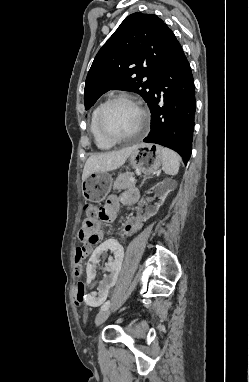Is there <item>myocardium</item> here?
Returning a JSON list of instances; mask_svg holds the SVG:
<instances>
[{"label":"myocardium","mask_w":249,"mask_h":382,"mask_svg":"<svg viewBox=\"0 0 249 382\" xmlns=\"http://www.w3.org/2000/svg\"><path fill=\"white\" fill-rule=\"evenodd\" d=\"M116 102H129V103L133 104L138 109V111L140 113V122H139L138 128L131 135L124 136V137H115V136L111 135L107 131V129L105 128V125H104L105 112L110 105H112L113 103H116ZM148 123H149V116H148V113L146 112V110L143 108V106L137 100H135L133 97L128 96V95H116V96L109 98L107 101H105L101 105L99 112H98V117H97V124H98V129H99L100 134L102 135V137L104 139H106L107 141H109L113 144L136 139L143 131H145L147 129Z\"/></svg>","instance_id":"f54148a6"}]
</instances>
